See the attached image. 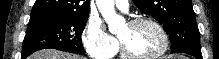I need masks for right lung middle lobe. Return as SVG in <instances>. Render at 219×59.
<instances>
[{"instance_id": "obj_1", "label": "right lung middle lobe", "mask_w": 219, "mask_h": 59, "mask_svg": "<svg viewBox=\"0 0 219 59\" xmlns=\"http://www.w3.org/2000/svg\"><path fill=\"white\" fill-rule=\"evenodd\" d=\"M87 19L88 16L31 14L21 59L41 49L85 54L80 35Z\"/></svg>"}]
</instances>
